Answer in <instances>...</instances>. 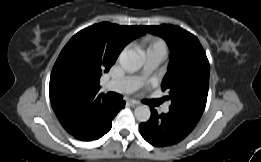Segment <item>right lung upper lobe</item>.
<instances>
[{
    "instance_id": "1",
    "label": "right lung upper lobe",
    "mask_w": 261,
    "mask_h": 162,
    "mask_svg": "<svg viewBox=\"0 0 261 162\" xmlns=\"http://www.w3.org/2000/svg\"><path fill=\"white\" fill-rule=\"evenodd\" d=\"M145 34L142 26H119L103 22L75 34L61 51L53 67L49 96L53 110L67 132L113 103L98 94L102 72H108L131 40ZM63 67L74 68L78 75L71 81L60 79Z\"/></svg>"
}]
</instances>
